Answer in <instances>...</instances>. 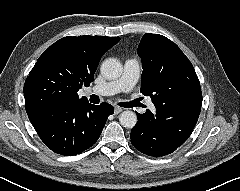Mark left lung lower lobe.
<instances>
[{
    "instance_id": "1",
    "label": "left lung lower lobe",
    "mask_w": 240,
    "mask_h": 191,
    "mask_svg": "<svg viewBox=\"0 0 240 191\" xmlns=\"http://www.w3.org/2000/svg\"><path fill=\"white\" fill-rule=\"evenodd\" d=\"M201 108L185 102L173 111L156 112L150 110L139 114L137 124L132 128V145L149 156L160 157L174 152L192 133Z\"/></svg>"
}]
</instances>
